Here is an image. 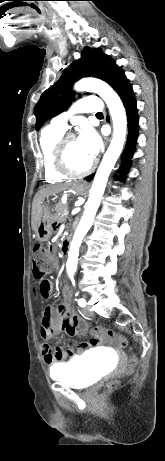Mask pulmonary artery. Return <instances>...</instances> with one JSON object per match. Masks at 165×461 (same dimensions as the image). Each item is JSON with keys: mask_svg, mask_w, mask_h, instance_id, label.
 I'll list each match as a JSON object with an SVG mask.
<instances>
[{"mask_svg": "<svg viewBox=\"0 0 165 461\" xmlns=\"http://www.w3.org/2000/svg\"><path fill=\"white\" fill-rule=\"evenodd\" d=\"M102 110V103L98 97H87L77 101L72 108L63 112L51 121V124L59 129L65 130L67 128V120L69 116L76 112H90L97 113Z\"/></svg>", "mask_w": 165, "mask_h": 461, "instance_id": "obj_1", "label": "pulmonary artery"}]
</instances>
